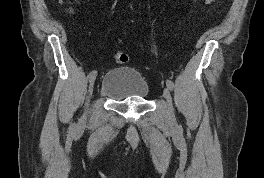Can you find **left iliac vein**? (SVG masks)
<instances>
[{
	"label": "left iliac vein",
	"instance_id": "4c4485c4",
	"mask_svg": "<svg viewBox=\"0 0 264 178\" xmlns=\"http://www.w3.org/2000/svg\"><path fill=\"white\" fill-rule=\"evenodd\" d=\"M163 96L168 103L170 118L173 120L174 119V113H173V106H172V97H171L170 91L167 88L164 89Z\"/></svg>",
	"mask_w": 264,
	"mask_h": 178
}]
</instances>
